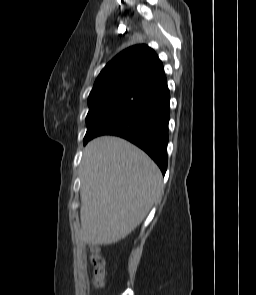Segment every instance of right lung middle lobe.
<instances>
[{"label":"right lung middle lobe","instance_id":"dd1d6c3e","mask_svg":"<svg viewBox=\"0 0 256 295\" xmlns=\"http://www.w3.org/2000/svg\"><path fill=\"white\" fill-rule=\"evenodd\" d=\"M135 97H115L89 106L86 117L87 132L85 138L97 133L104 124L122 111Z\"/></svg>","mask_w":256,"mask_h":295}]
</instances>
